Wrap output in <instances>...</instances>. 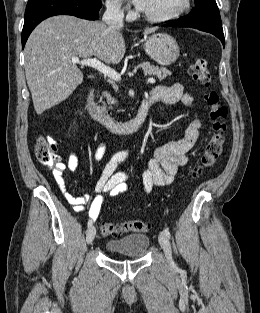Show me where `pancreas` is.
<instances>
[{
	"label": "pancreas",
	"instance_id": "obj_1",
	"mask_svg": "<svg viewBox=\"0 0 260 313\" xmlns=\"http://www.w3.org/2000/svg\"><path fill=\"white\" fill-rule=\"evenodd\" d=\"M138 67H141L144 71L145 75H156L159 80L165 79L167 76L171 75V72L164 67H158L150 64L149 62H144L140 64ZM107 98V103L109 105L115 104L116 100L111 97L109 93H105Z\"/></svg>",
	"mask_w": 260,
	"mask_h": 313
}]
</instances>
